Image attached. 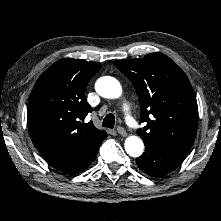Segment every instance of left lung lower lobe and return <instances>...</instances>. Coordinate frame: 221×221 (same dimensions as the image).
<instances>
[{
    "label": "left lung lower lobe",
    "instance_id": "obj_1",
    "mask_svg": "<svg viewBox=\"0 0 221 221\" xmlns=\"http://www.w3.org/2000/svg\"><path fill=\"white\" fill-rule=\"evenodd\" d=\"M145 152L136 159L138 167L153 177L164 176L175 170L187 153L165 145L144 141Z\"/></svg>",
    "mask_w": 221,
    "mask_h": 221
}]
</instances>
